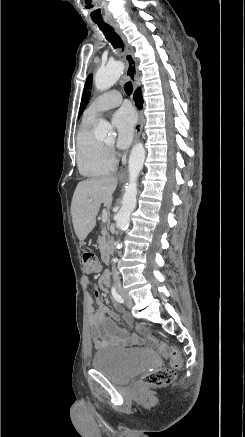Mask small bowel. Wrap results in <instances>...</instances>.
Returning a JSON list of instances; mask_svg holds the SVG:
<instances>
[{"label":"small bowel","instance_id":"1","mask_svg":"<svg viewBox=\"0 0 245 437\" xmlns=\"http://www.w3.org/2000/svg\"><path fill=\"white\" fill-rule=\"evenodd\" d=\"M84 282L90 284L91 280L85 277ZM106 284L102 275L99 280L100 291H96L97 306L90 315V332L94 347L102 350L109 347L130 348L138 345H152L154 340L144 328H140V333L143 335L141 338L117 324L116 321L129 322L131 318L127 314H122L119 308L114 311L101 302V292L105 290Z\"/></svg>","mask_w":245,"mask_h":437}]
</instances>
